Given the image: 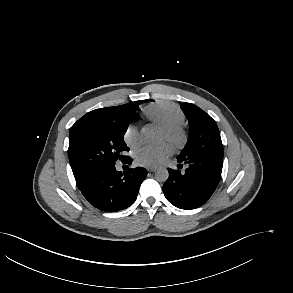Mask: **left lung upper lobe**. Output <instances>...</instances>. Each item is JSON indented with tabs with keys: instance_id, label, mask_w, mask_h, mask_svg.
Listing matches in <instances>:
<instances>
[{
	"instance_id": "1",
	"label": "left lung upper lobe",
	"mask_w": 293,
	"mask_h": 293,
	"mask_svg": "<svg viewBox=\"0 0 293 293\" xmlns=\"http://www.w3.org/2000/svg\"><path fill=\"white\" fill-rule=\"evenodd\" d=\"M181 108L189 122V136L178 157L204 153L223 159V145L216 122L194 104L182 103Z\"/></svg>"
}]
</instances>
